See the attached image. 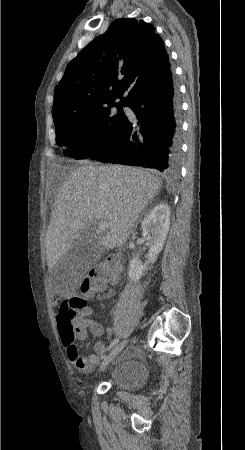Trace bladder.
Segmentation results:
<instances>
[{
	"label": "bladder",
	"instance_id": "31cf9c89",
	"mask_svg": "<svg viewBox=\"0 0 245 450\" xmlns=\"http://www.w3.org/2000/svg\"><path fill=\"white\" fill-rule=\"evenodd\" d=\"M146 377V368L139 360H123L113 368L108 383L123 392H135Z\"/></svg>",
	"mask_w": 245,
	"mask_h": 450
}]
</instances>
